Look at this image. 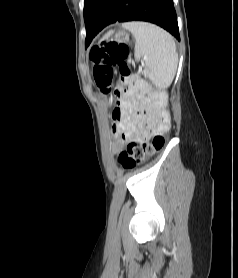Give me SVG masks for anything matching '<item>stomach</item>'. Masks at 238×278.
Segmentation results:
<instances>
[{"instance_id": "stomach-1", "label": "stomach", "mask_w": 238, "mask_h": 278, "mask_svg": "<svg viewBox=\"0 0 238 278\" xmlns=\"http://www.w3.org/2000/svg\"><path fill=\"white\" fill-rule=\"evenodd\" d=\"M108 35L112 36V39L119 43H126L129 41V34L125 30L110 31Z\"/></svg>"}]
</instances>
